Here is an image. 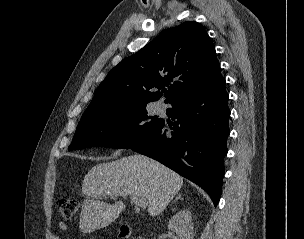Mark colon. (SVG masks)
<instances>
[{
  "instance_id": "colon-1",
  "label": "colon",
  "mask_w": 304,
  "mask_h": 239,
  "mask_svg": "<svg viewBox=\"0 0 304 239\" xmlns=\"http://www.w3.org/2000/svg\"><path fill=\"white\" fill-rule=\"evenodd\" d=\"M56 205L61 216L65 219L74 218L79 211V202L73 198L60 197L56 200ZM120 236L124 238L130 236V230L127 226L121 227Z\"/></svg>"
}]
</instances>
